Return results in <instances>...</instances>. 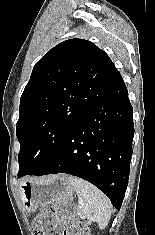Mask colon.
Returning <instances> with one entry per match:
<instances>
[{
	"mask_svg": "<svg viewBox=\"0 0 155 235\" xmlns=\"http://www.w3.org/2000/svg\"><path fill=\"white\" fill-rule=\"evenodd\" d=\"M60 223L65 225L63 231L59 230ZM33 227L35 235H89L85 225L73 218L69 201L56 203L51 209L43 208L35 217Z\"/></svg>",
	"mask_w": 155,
	"mask_h": 235,
	"instance_id": "colon-1",
	"label": "colon"
}]
</instances>
